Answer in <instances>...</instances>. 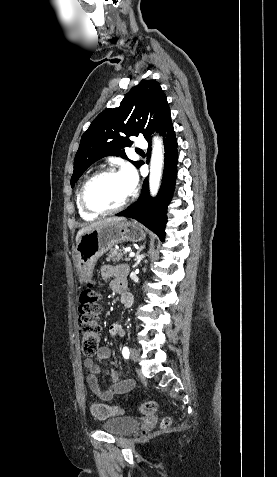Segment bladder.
Here are the masks:
<instances>
[{
  "mask_svg": "<svg viewBox=\"0 0 277 477\" xmlns=\"http://www.w3.org/2000/svg\"><path fill=\"white\" fill-rule=\"evenodd\" d=\"M139 425L138 420L128 416H115L108 418L102 428L107 433L115 436H125L132 433Z\"/></svg>",
  "mask_w": 277,
  "mask_h": 477,
  "instance_id": "31cf9c89",
  "label": "bladder"
}]
</instances>
